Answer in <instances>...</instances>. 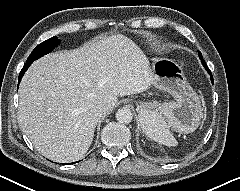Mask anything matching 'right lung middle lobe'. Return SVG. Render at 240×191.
<instances>
[{
  "instance_id": "dd1d6c3e",
  "label": "right lung middle lobe",
  "mask_w": 240,
  "mask_h": 191,
  "mask_svg": "<svg viewBox=\"0 0 240 191\" xmlns=\"http://www.w3.org/2000/svg\"><path fill=\"white\" fill-rule=\"evenodd\" d=\"M60 43V40L58 37L54 36L41 44H39L29 55L26 63L30 62L32 63L34 60H37L38 58L42 57L43 55L51 52L55 47H57Z\"/></svg>"
}]
</instances>
